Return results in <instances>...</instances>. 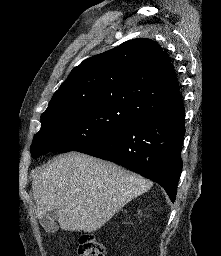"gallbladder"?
Wrapping results in <instances>:
<instances>
[{
    "mask_svg": "<svg viewBox=\"0 0 221 256\" xmlns=\"http://www.w3.org/2000/svg\"><path fill=\"white\" fill-rule=\"evenodd\" d=\"M57 213L56 210H50L40 219V223L47 232H55L57 230Z\"/></svg>",
    "mask_w": 221,
    "mask_h": 256,
    "instance_id": "gallbladder-1",
    "label": "gallbladder"
}]
</instances>
